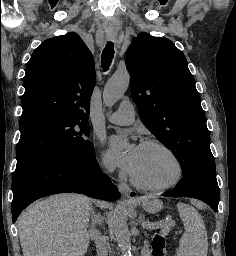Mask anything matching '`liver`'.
Instances as JSON below:
<instances>
[{
    "label": "liver",
    "instance_id": "obj_1",
    "mask_svg": "<svg viewBox=\"0 0 236 256\" xmlns=\"http://www.w3.org/2000/svg\"><path fill=\"white\" fill-rule=\"evenodd\" d=\"M89 198L56 194L35 202L18 220L23 256H85L89 246Z\"/></svg>",
    "mask_w": 236,
    "mask_h": 256
}]
</instances>
